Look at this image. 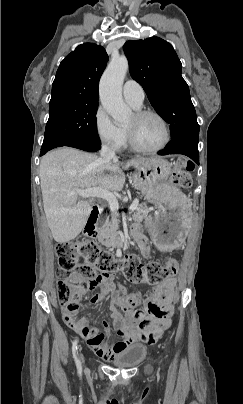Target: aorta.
<instances>
[{"label": "aorta", "mask_w": 243, "mask_h": 404, "mask_svg": "<svg viewBox=\"0 0 243 404\" xmlns=\"http://www.w3.org/2000/svg\"><path fill=\"white\" fill-rule=\"evenodd\" d=\"M127 72V58L125 56H119V58L112 56L100 80V102L104 110L115 120L117 126L127 124L133 114L131 108L124 104L122 98V86Z\"/></svg>", "instance_id": "aorta-1"}]
</instances>
